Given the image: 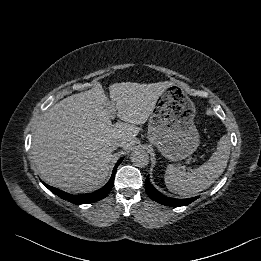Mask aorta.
Here are the masks:
<instances>
[{"mask_svg":"<svg viewBox=\"0 0 261 261\" xmlns=\"http://www.w3.org/2000/svg\"><path fill=\"white\" fill-rule=\"evenodd\" d=\"M131 162L133 163L134 166L139 167V168H144L149 164V156L148 154L141 149L134 150L131 153Z\"/></svg>","mask_w":261,"mask_h":261,"instance_id":"762f6f07","label":"aorta"}]
</instances>
